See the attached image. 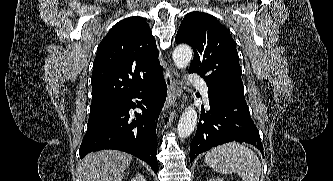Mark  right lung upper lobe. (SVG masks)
I'll return each instance as SVG.
<instances>
[{"instance_id":"obj_1","label":"right lung upper lobe","mask_w":333,"mask_h":181,"mask_svg":"<svg viewBox=\"0 0 333 181\" xmlns=\"http://www.w3.org/2000/svg\"><path fill=\"white\" fill-rule=\"evenodd\" d=\"M158 56L156 41L142 17L114 25L99 44L93 63L90 111L153 86L163 77Z\"/></svg>"}]
</instances>
